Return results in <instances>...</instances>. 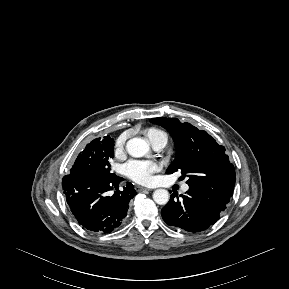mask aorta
Masks as SVG:
<instances>
[{
    "instance_id": "1",
    "label": "aorta",
    "mask_w": 289,
    "mask_h": 289,
    "mask_svg": "<svg viewBox=\"0 0 289 289\" xmlns=\"http://www.w3.org/2000/svg\"><path fill=\"white\" fill-rule=\"evenodd\" d=\"M149 149V144L141 138H132L126 144V150L132 157H143ZM153 200L159 205H165L169 201V192L165 189H157L153 193Z\"/></svg>"
}]
</instances>
